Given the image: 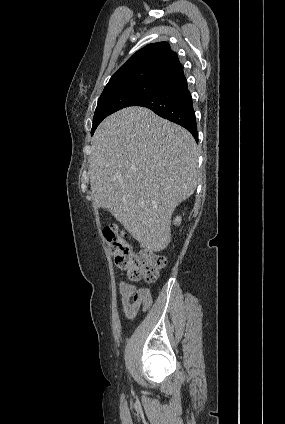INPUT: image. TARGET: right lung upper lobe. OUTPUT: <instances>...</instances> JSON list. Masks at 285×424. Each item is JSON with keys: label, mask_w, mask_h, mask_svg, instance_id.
Wrapping results in <instances>:
<instances>
[{"label": "right lung upper lobe", "mask_w": 285, "mask_h": 424, "mask_svg": "<svg viewBox=\"0 0 285 424\" xmlns=\"http://www.w3.org/2000/svg\"><path fill=\"white\" fill-rule=\"evenodd\" d=\"M183 68L167 42L148 44L117 70L104 90L125 84L155 81L166 83L181 75Z\"/></svg>", "instance_id": "cb5924a9"}]
</instances>
